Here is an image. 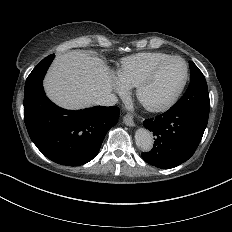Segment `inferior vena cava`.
<instances>
[{
	"label": "inferior vena cava",
	"mask_w": 232,
	"mask_h": 232,
	"mask_svg": "<svg viewBox=\"0 0 232 232\" xmlns=\"http://www.w3.org/2000/svg\"><path fill=\"white\" fill-rule=\"evenodd\" d=\"M97 104L103 106H113L119 103L118 98L113 93L103 94L97 101Z\"/></svg>",
	"instance_id": "obj_1"
}]
</instances>
